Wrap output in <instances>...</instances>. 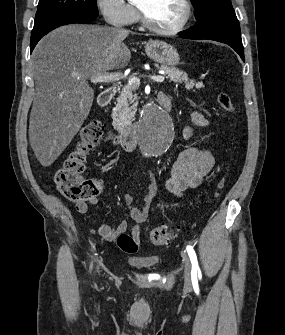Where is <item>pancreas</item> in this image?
Returning a JSON list of instances; mask_svg holds the SVG:
<instances>
[{
	"mask_svg": "<svg viewBox=\"0 0 285 335\" xmlns=\"http://www.w3.org/2000/svg\"><path fill=\"white\" fill-rule=\"evenodd\" d=\"M160 70H164L168 74L171 82L176 84H184L186 90H192V88H203L202 82H195V80H189L188 74L182 72L179 68H167V66H161ZM195 92V90H193ZM121 96L117 98V105L112 106L114 115H111L110 120L114 125H130L136 121V115L138 114V107L136 105L130 106L135 100H137L136 94H132V86H124L122 92H119Z\"/></svg>",
	"mask_w": 285,
	"mask_h": 335,
	"instance_id": "cf45deb5",
	"label": "pancreas"
}]
</instances>
